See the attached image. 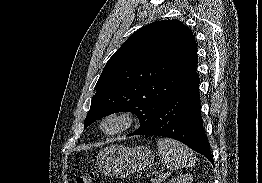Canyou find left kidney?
I'll list each match as a JSON object with an SVG mask.
<instances>
[{
	"label": "left kidney",
	"mask_w": 262,
	"mask_h": 183,
	"mask_svg": "<svg viewBox=\"0 0 262 183\" xmlns=\"http://www.w3.org/2000/svg\"><path fill=\"white\" fill-rule=\"evenodd\" d=\"M193 176L191 174H183L180 176H177L176 178H172L167 183H192Z\"/></svg>",
	"instance_id": "left-kidney-1"
}]
</instances>
